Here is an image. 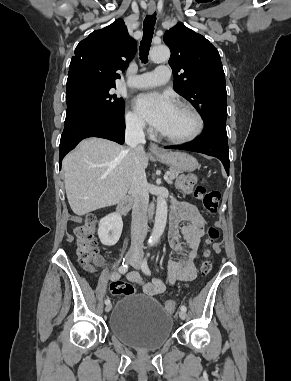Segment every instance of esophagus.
I'll return each mask as SVG.
<instances>
[{"label": "esophagus", "mask_w": 291, "mask_h": 381, "mask_svg": "<svg viewBox=\"0 0 291 381\" xmlns=\"http://www.w3.org/2000/svg\"><path fill=\"white\" fill-rule=\"evenodd\" d=\"M156 9V6L154 3H149L148 4V12L150 14H153ZM150 152L153 154H162L164 151L155 143H151L149 146Z\"/></svg>", "instance_id": "1"}]
</instances>
